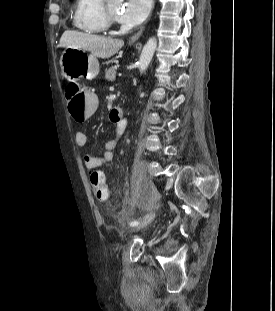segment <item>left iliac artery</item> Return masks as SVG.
Listing matches in <instances>:
<instances>
[{"mask_svg":"<svg viewBox=\"0 0 275 311\" xmlns=\"http://www.w3.org/2000/svg\"><path fill=\"white\" fill-rule=\"evenodd\" d=\"M138 224H139V222L136 221V220L130 222V226H136V225H138Z\"/></svg>","mask_w":275,"mask_h":311,"instance_id":"obj_1","label":"left iliac artery"}]
</instances>
